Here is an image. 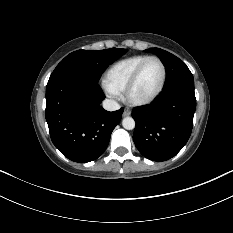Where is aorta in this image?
I'll use <instances>...</instances> for the list:
<instances>
[{"instance_id":"1","label":"aorta","mask_w":233,"mask_h":233,"mask_svg":"<svg viewBox=\"0 0 233 233\" xmlns=\"http://www.w3.org/2000/svg\"><path fill=\"white\" fill-rule=\"evenodd\" d=\"M122 126L127 130H132L135 128V121L132 117H125L122 120Z\"/></svg>"}]
</instances>
